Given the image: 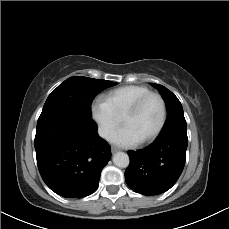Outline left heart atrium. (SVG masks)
Returning a JSON list of instances; mask_svg holds the SVG:
<instances>
[{
	"label": "left heart atrium",
	"instance_id": "39dd6f15",
	"mask_svg": "<svg viewBox=\"0 0 229 229\" xmlns=\"http://www.w3.org/2000/svg\"><path fill=\"white\" fill-rule=\"evenodd\" d=\"M141 139L133 137L126 128H122L115 135L113 142L119 146L132 147L139 143Z\"/></svg>",
	"mask_w": 229,
	"mask_h": 229
}]
</instances>
